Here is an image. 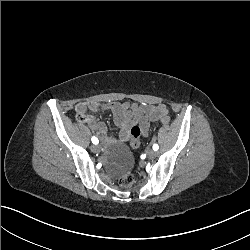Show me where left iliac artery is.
I'll return each mask as SVG.
<instances>
[{
	"label": "left iliac artery",
	"instance_id": "obj_1",
	"mask_svg": "<svg viewBox=\"0 0 250 250\" xmlns=\"http://www.w3.org/2000/svg\"><path fill=\"white\" fill-rule=\"evenodd\" d=\"M158 149H159L158 144H154V145H153V150H154V151H157Z\"/></svg>",
	"mask_w": 250,
	"mask_h": 250
}]
</instances>
